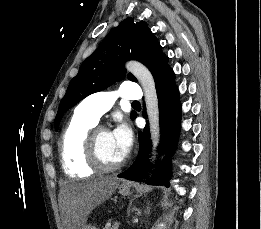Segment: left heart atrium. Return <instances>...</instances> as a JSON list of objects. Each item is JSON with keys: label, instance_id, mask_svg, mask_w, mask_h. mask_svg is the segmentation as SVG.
<instances>
[{"label": "left heart atrium", "instance_id": "left-heart-atrium-1", "mask_svg": "<svg viewBox=\"0 0 261 229\" xmlns=\"http://www.w3.org/2000/svg\"><path fill=\"white\" fill-rule=\"evenodd\" d=\"M117 151L122 158L126 157L133 146V131L126 123L119 124L112 132Z\"/></svg>", "mask_w": 261, "mask_h": 229}]
</instances>
